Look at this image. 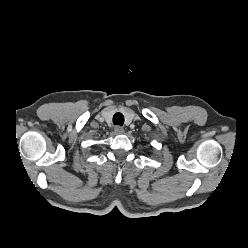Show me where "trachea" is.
<instances>
[{
	"instance_id": "trachea-1",
	"label": "trachea",
	"mask_w": 248,
	"mask_h": 248,
	"mask_svg": "<svg viewBox=\"0 0 248 248\" xmlns=\"http://www.w3.org/2000/svg\"><path fill=\"white\" fill-rule=\"evenodd\" d=\"M113 124L122 126L124 124L123 114L117 112L113 116Z\"/></svg>"
}]
</instances>
